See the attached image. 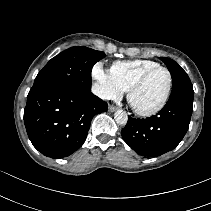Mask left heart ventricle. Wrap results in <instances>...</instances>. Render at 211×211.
<instances>
[{"instance_id":"obj_1","label":"left heart ventricle","mask_w":211,"mask_h":211,"mask_svg":"<svg viewBox=\"0 0 211 211\" xmlns=\"http://www.w3.org/2000/svg\"><path fill=\"white\" fill-rule=\"evenodd\" d=\"M168 85V75L164 70L153 72L144 84L133 94L132 103L140 110H149L163 99Z\"/></svg>"}]
</instances>
